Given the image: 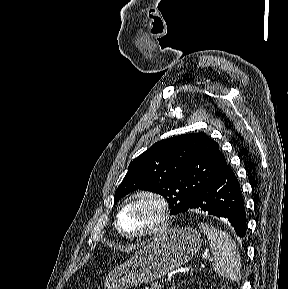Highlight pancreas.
<instances>
[{
  "label": "pancreas",
  "instance_id": "pancreas-1",
  "mask_svg": "<svg viewBox=\"0 0 288 289\" xmlns=\"http://www.w3.org/2000/svg\"><path fill=\"white\" fill-rule=\"evenodd\" d=\"M162 285L158 283H153L150 286L146 287L145 289H161Z\"/></svg>",
  "mask_w": 288,
  "mask_h": 289
}]
</instances>
